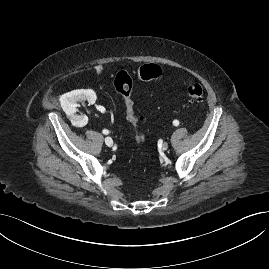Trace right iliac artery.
<instances>
[{
  "instance_id": "obj_1",
  "label": "right iliac artery",
  "mask_w": 269,
  "mask_h": 269,
  "mask_svg": "<svg viewBox=\"0 0 269 269\" xmlns=\"http://www.w3.org/2000/svg\"><path fill=\"white\" fill-rule=\"evenodd\" d=\"M103 134L107 135L109 133V131L107 129H104L103 131Z\"/></svg>"
}]
</instances>
